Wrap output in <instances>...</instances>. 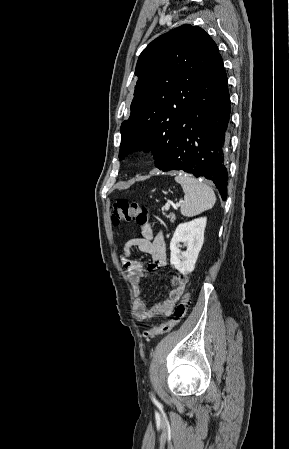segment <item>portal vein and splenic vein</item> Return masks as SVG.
Here are the masks:
<instances>
[{"label": "portal vein and splenic vein", "mask_w": 289, "mask_h": 449, "mask_svg": "<svg viewBox=\"0 0 289 449\" xmlns=\"http://www.w3.org/2000/svg\"><path fill=\"white\" fill-rule=\"evenodd\" d=\"M181 203H182V202H179V203H176V204H174V203H167V204L164 206L163 209L169 210V208H170L171 205H172L175 209H177V208L181 205Z\"/></svg>", "instance_id": "portal-vein-and-splenic-vein-1"}]
</instances>
